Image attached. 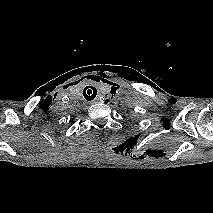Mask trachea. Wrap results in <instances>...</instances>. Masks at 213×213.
Instances as JSON below:
<instances>
[{
    "instance_id": "obj_1",
    "label": "trachea",
    "mask_w": 213,
    "mask_h": 213,
    "mask_svg": "<svg viewBox=\"0 0 213 213\" xmlns=\"http://www.w3.org/2000/svg\"><path fill=\"white\" fill-rule=\"evenodd\" d=\"M83 95L86 100H93L97 95V90L95 87L88 86L84 89Z\"/></svg>"
}]
</instances>
